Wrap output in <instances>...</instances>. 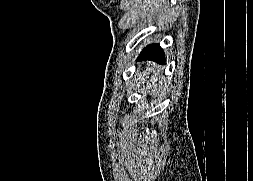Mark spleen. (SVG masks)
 I'll return each mask as SVG.
<instances>
[{"label":"spleen","mask_w":253,"mask_h":181,"mask_svg":"<svg viewBox=\"0 0 253 181\" xmlns=\"http://www.w3.org/2000/svg\"><path fill=\"white\" fill-rule=\"evenodd\" d=\"M161 87V75H160V70L157 72H154L153 75L151 76V79L147 83V88L146 89H158Z\"/></svg>","instance_id":"obj_1"}]
</instances>
